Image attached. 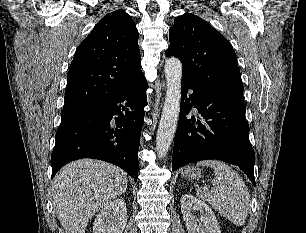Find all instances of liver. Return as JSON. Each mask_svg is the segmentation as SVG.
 I'll return each instance as SVG.
<instances>
[{"mask_svg": "<svg viewBox=\"0 0 306 233\" xmlns=\"http://www.w3.org/2000/svg\"><path fill=\"white\" fill-rule=\"evenodd\" d=\"M127 174L107 162L81 159L63 167L52 185L55 213L65 233H85L101 208L121 196Z\"/></svg>", "mask_w": 306, "mask_h": 233, "instance_id": "1", "label": "liver"}]
</instances>
